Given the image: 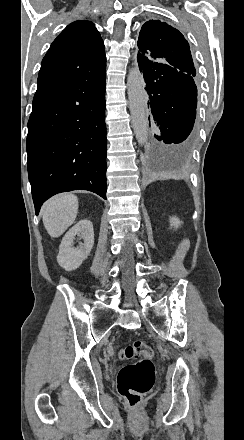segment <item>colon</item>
I'll return each instance as SVG.
<instances>
[{
	"label": "colon",
	"instance_id": "colon-1",
	"mask_svg": "<svg viewBox=\"0 0 244 440\" xmlns=\"http://www.w3.org/2000/svg\"><path fill=\"white\" fill-rule=\"evenodd\" d=\"M117 355L121 360H137L124 366L118 376L120 395L126 399L130 410H137L141 397L152 389L155 382L154 353L144 341L137 340Z\"/></svg>",
	"mask_w": 244,
	"mask_h": 440
}]
</instances>
